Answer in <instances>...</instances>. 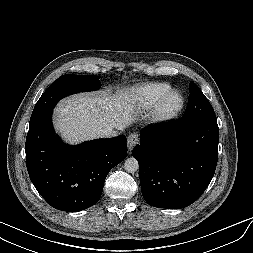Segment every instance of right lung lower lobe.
<instances>
[{"label": "right lung lower lobe", "mask_w": 253, "mask_h": 253, "mask_svg": "<svg viewBox=\"0 0 253 253\" xmlns=\"http://www.w3.org/2000/svg\"><path fill=\"white\" fill-rule=\"evenodd\" d=\"M51 117L52 110L29 123L25 144L29 177L52 207L84 210L99 201L107 174L126 158V137L70 146L55 134Z\"/></svg>", "instance_id": "1"}]
</instances>
